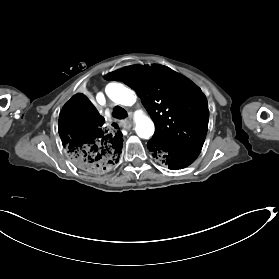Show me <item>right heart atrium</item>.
I'll return each instance as SVG.
<instances>
[{
	"instance_id": "d8ad5b80",
	"label": "right heart atrium",
	"mask_w": 279,
	"mask_h": 279,
	"mask_svg": "<svg viewBox=\"0 0 279 279\" xmlns=\"http://www.w3.org/2000/svg\"><path fill=\"white\" fill-rule=\"evenodd\" d=\"M135 57H136V58H139L138 55H135ZM134 115H135L138 119H140V120L146 122V119H145L144 114H143V112H142L141 109H138L137 111H135Z\"/></svg>"
}]
</instances>
